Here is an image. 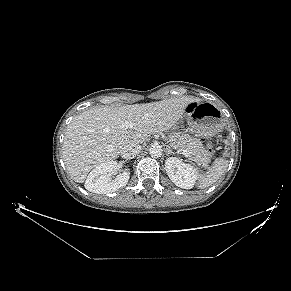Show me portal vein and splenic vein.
<instances>
[{
    "label": "portal vein and splenic vein",
    "mask_w": 291,
    "mask_h": 291,
    "mask_svg": "<svg viewBox=\"0 0 291 291\" xmlns=\"http://www.w3.org/2000/svg\"><path fill=\"white\" fill-rule=\"evenodd\" d=\"M133 127V123L130 121H126L122 124V128L124 129H128V128H132ZM185 157H190V154L188 153V151L186 150H182L180 151Z\"/></svg>",
    "instance_id": "portal-vein-and-splenic-vein-1"
}]
</instances>
